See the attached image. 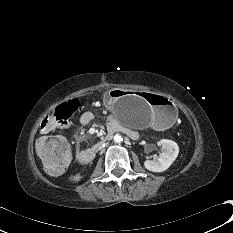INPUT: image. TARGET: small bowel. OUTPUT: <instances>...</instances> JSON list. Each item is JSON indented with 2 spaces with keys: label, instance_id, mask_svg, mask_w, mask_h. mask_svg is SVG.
Masks as SVG:
<instances>
[{
  "label": "small bowel",
  "instance_id": "obj_1",
  "mask_svg": "<svg viewBox=\"0 0 233 233\" xmlns=\"http://www.w3.org/2000/svg\"><path fill=\"white\" fill-rule=\"evenodd\" d=\"M94 117H95V113L94 112L89 111V110L88 111H84L80 115V122L83 125L89 124L94 119ZM108 120L110 122L109 125L116 123L111 117H109Z\"/></svg>",
  "mask_w": 233,
  "mask_h": 233
}]
</instances>
